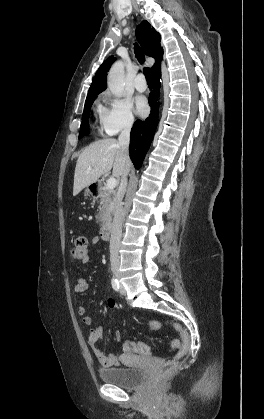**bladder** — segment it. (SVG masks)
<instances>
[{
    "instance_id": "bladder-1",
    "label": "bladder",
    "mask_w": 264,
    "mask_h": 419,
    "mask_svg": "<svg viewBox=\"0 0 264 419\" xmlns=\"http://www.w3.org/2000/svg\"><path fill=\"white\" fill-rule=\"evenodd\" d=\"M100 379L124 389H132L139 386L145 377L142 367H111L99 371Z\"/></svg>"
}]
</instances>
